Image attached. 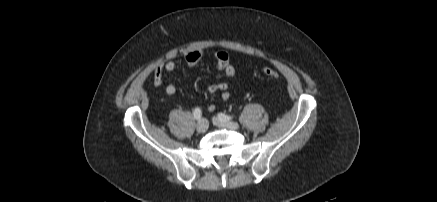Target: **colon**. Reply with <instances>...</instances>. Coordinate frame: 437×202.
I'll list each match as a JSON object with an SVG mask.
<instances>
[{"instance_id": "1", "label": "colon", "mask_w": 437, "mask_h": 202, "mask_svg": "<svg viewBox=\"0 0 437 202\" xmlns=\"http://www.w3.org/2000/svg\"><path fill=\"white\" fill-rule=\"evenodd\" d=\"M263 73L267 77L272 78V79H277L279 77V73L276 70L272 69V68H264L263 69Z\"/></svg>"}]
</instances>
